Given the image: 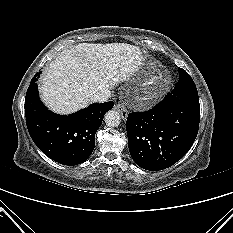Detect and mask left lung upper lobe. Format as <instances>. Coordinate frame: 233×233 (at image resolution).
<instances>
[{
    "mask_svg": "<svg viewBox=\"0 0 233 233\" xmlns=\"http://www.w3.org/2000/svg\"><path fill=\"white\" fill-rule=\"evenodd\" d=\"M193 93H197V88L193 79L184 69L179 68V80L175 85L172 94L182 97Z\"/></svg>",
    "mask_w": 233,
    "mask_h": 233,
    "instance_id": "1",
    "label": "left lung upper lobe"
}]
</instances>
